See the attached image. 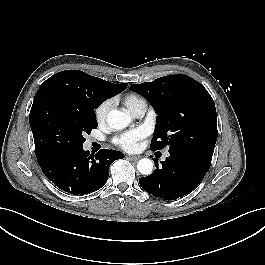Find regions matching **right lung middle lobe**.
<instances>
[{
  "label": "right lung middle lobe",
  "instance_id": "right-lung-middle-lobe-1",
  "mask_svg": "<svg viewBox=\"0 0 265 265\" xmlns=\"http://www.w3.org/2000/svg\"><path fill=\"white\" fill-rule=\"evenodd\" d=\"M101 102L69 104L53 95L34 99L29 115L36 157L81 148L84 135L97 128L94 109Z\"/></svg>",
  "mask_w": 265,
  "mask_h": 265
}]
</instances>
